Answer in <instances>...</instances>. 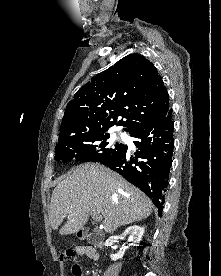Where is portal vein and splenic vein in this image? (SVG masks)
I'll list each match as a JSON object with an SVG mask.
<instances>
[{"label":"portal vein and splenic vein","instance_id":"obj_1","mask_svg":"<svg viewBox=\"0 0 221 276\" xmlns=\"http://www.w3.org/2000/svg\"><path fill=\"white\" fill-rule=\"evenodd\" d=\"M91 216L96 222H99L102 220V215H100L98 213H91Z\"/></svg>","mask_w":221,"mask_h":276}]
</instances>
